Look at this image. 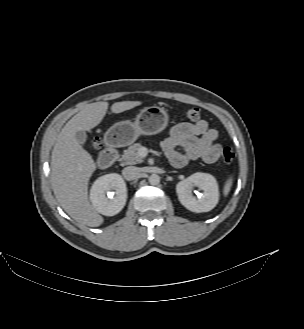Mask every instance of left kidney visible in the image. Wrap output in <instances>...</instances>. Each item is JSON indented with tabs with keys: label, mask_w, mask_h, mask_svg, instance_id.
<instances>
[{
	"label": "left kidney",
	"mask_w": 304,
	"mask_h": 329,
	"mask_svg": "<svg viewBox=\"0 0 304 329\" xmlns=\"http://www.w3.org/2000/svg\"><path fill=\"white\" fill-rule=\"evenodd\" d=\"M194 186L203 190L200 198L191 194ZM176 192L180 203L188 210L196 213L212 210L219 200V189L216 179L207 173L197 172L176 185Z\"/></svg>",
	"instance_id": "left-kidney-1"
}]
</instances>
